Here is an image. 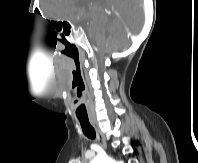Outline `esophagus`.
I'll use <instances>...</instances> for the list:
<instances>
[{
    "mask_svg": "<svg viewBox=\"0 0 198 163\" xmlns=\"http://www.w3.org/2000/svg\"><path fill=\"white\" fill-rule=\"evenodd\" d=\"M90 122H91L93 128H94L95 131H96L98 143H99L103 148H106V147H107L106 139H105L104 134L101 132V130H100L99 126H98L97 120H96L94 117H91V118H90Z\"/></svg>",
    "mask_w": 198,
    "mask_h": 163,
    "instance_id": "esophagus-1",
    "label": "esophagus"
}]
</instances>
